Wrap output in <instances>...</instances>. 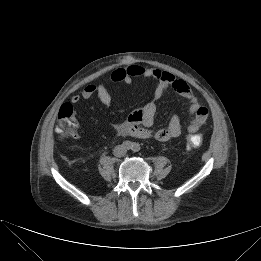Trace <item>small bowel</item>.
Segmentation results:
<instances>
[{
  "label": "small bowel",
  "mask_w": 261,
  "mask_h": 261,
  "mask_svg": "<svg viewBox=\"0 0 261 261\" xmlns=\"http://www.w3.org/2000/svg\"><path fill=\"white\" fill-rule=\"evenodd\" d=\"M137 77L149 78L156 81L153 98L143 107L133 111L121 123L114 126L119 136H131L141 139L153 138L157 141L166 142L181 135L182 126L179 116L173 115L166 128L151 131L157 110V101L160 100L169 88H172L178 95L189 103L191 119L187 126L189 133H196L207 121L208 109L203 106L189 85L169 72L157 68H145L139 65H130L124 68H117L112 71L110 79L114 83L131 84ZM97 96L102 104L109 106L112 102L111 94L103 83H90L84 86L79 95L71 98L73 104L81 99H90Z\"/></svg>",
  "instance_id": "c3829d8e"
}]
</instances>
